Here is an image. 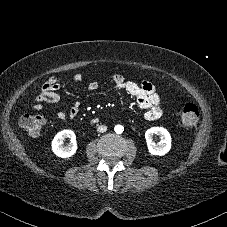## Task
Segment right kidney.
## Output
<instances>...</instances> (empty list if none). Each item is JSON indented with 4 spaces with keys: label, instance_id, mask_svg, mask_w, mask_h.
<instances>
[{
    "label": "right kidney",
    "instance_id": "ca27d5eb",
    "mask_svg": "<svg viewBox=\"0 0 227 227\" xmlns=\"http://www.w3.org/2000/svg\"><path fill=\"white\" fill-rule=\"evenodd\" d=\"M65 138L70 139V143L67 146L63 145V140ZM76 150V135L72 130H62L55 135L52 141V151L56 156L69 158L76 153Z\"/></svg>",
    "mask_w": 227,
    "mask_h": 227
}]
</instances>
